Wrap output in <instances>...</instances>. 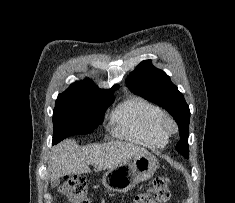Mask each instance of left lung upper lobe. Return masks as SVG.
<instances>
[{"label":"left lung upper lobe","mask_w":235,"mask_h":203,"mask_svg":"<svg viewBox=\"0 0 235 203\" xmlns=\"http://www.w3.org/2000/svg\"><path fill=\"white\" fill-rule=\"evenodd\" d=\"M135 94L166 109L179 126L180 141L176 150L189 158L188 136L190 110L184 96L162 70L155 68L151 60L141 62L126 79Z\"/></svg>","instance_id":"1"}]
</instances>
